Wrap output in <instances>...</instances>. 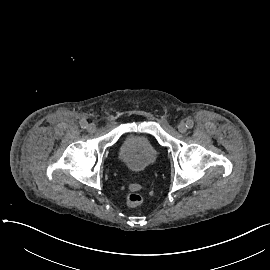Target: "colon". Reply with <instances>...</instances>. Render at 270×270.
<instances>
[{"label":"colon","mask_w":270,"mask_h":270,"mask_svg":"<svg viewBox=\"0 0 270 270\" xmlns=\"http://www.w3.org/2000/svg\"><path fill=\"white\" fill-rule=\"evenodd\" d=\"M143 201V196L140 192L138 191H128L126 194V203L129 206H138L142 203Z\"/></svg>","instance_id":"1"}]
</instances>
